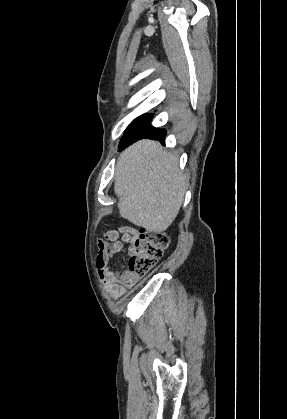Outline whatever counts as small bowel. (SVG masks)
Instances as JSON below:
<instances>
[{
  "mask_svg": "<svg viewBox=\"0 0 287 419\" xmlns=\"http://www.w3.org/2000/svg\"><path fill=\"white\" fill-rule=\"evenodd\" d=\"M137 234L131 227H120L105 234V239L98 243L96 265L98 275L106 284L107 289L114 298L124 295L128 288L137 281V276L123 269H110L108 264L122 250L123 243H130ZM131 254V251H130Z\"/></svg>",
  "mask_w": 287,
  "mask_h": 419,
  "instance_id": "small-bowel-1",
  "label": "small bowel"
}]
</instances>
